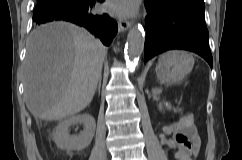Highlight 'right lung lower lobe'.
Listing matches in <instances>:
<instances>
[{"label": "right lung lower lobe", "instance_id": "right-lung-lower-lobe-1", "mask_svg": "<svg viewBox=\"0 0 242 160\" xmlns=\"http://www.w3.org/2000/svg\"><path fill=\"white\" fill-rule=\"evenodd\" d=\"M94 3L95 0H47L37 3L33 21L36 25L55 20L69 21L85 27L108 46L118 31V25L107 14L94 15Z\"/></svg>", "mask_w": 242, "mask_h": 160}]
</instances>
